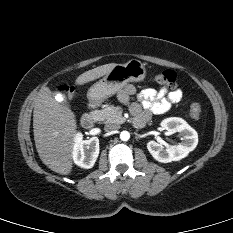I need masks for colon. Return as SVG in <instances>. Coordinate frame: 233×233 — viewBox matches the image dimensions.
Here are the masks:
<instances>
[{
  "label": "colon",
  "instance_id": "obj_1",
  "mask_svg": "<svg viewBox=\"0 0 233 233\" xmlns=\"http://www.w3.org/2000/svg\"><path fill=\"white\" fill-rule=\"evenodd\" d=\"M154 82L166 87L167 89H174L177 85V74L173 70H165L157 74L153 78ZM62 90L70 97L73 95L72 88L68 86H63ZM201 104L198 102H193L190 106V117L193 120H197L201 115Z\"/></svg>",
  "mask_w": 233,
  "mask_h": 233
}]
</instances>
